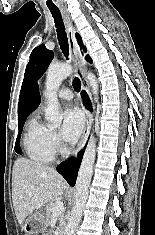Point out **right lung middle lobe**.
<instances>
[{"mask_svg": "<svg viewBox=\"0 0 155 235\" xmlns=\"http://www.w3.org/2000/svg\"><path fill=\"white\" fill-rule=\"evenodd\" d=\"M25 120H26V117L18 120L19 133H18V137H17L16 143H15V151L18 154H22V150L20 148V137H21V133H22V130H23Z\"/></svg>", "mask_w": 155, "mask_h": 235, "instance_id": "right-lung-middle-lobe-1", "label": "right lung middle lobe"}]
</instances>
